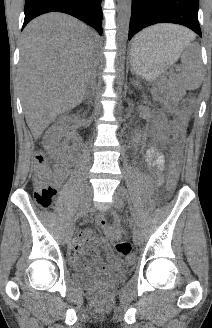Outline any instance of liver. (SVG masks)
<instances>
[{
    "label": "liver",
    "instance_id": "obj_1",
    "mask_svg": "<svg viewBox=\"0 0 212 328\" xmlns=\"http://www.w3.org/2000/svg\"><path fill=\"white\" fill-rule=\"evenodd\" d=\"M144 31L149 42L164 40L187 45L195 38L191 31L177 25H157ZM96 47V34L65 14L42 15L24 29L19 61L20 94L26 122L35 139L57 116L82 102Z\"/></svg>",
    "mask_w": 212,
    "mask_h": 328
}]
</instances>
